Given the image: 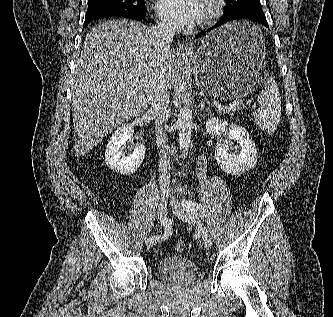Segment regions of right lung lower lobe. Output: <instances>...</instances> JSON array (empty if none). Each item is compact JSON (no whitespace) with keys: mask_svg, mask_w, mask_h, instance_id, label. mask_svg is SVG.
Masks as SVG:
<instances>
[{"mask_svg":"<svg viewBox=\"0 0 333 317\" xmlns=\"http://www.w3.org/2000/svg\"><path fill=\"white\" fill-rule=\"evenodd\" d=\"M109 16H119V17H125V18H129V19H134V20H137V21H141L144 18L145 14H138V13H132V14L104 13V14H99V15H89V16L86 15L85 16L84 27L87 26L94 19L109 17Z\"/></svg>","mask_w":333,"mask_h":317,"instance_id":"98d812e1","label":"right lung lower lobe"}]
</instances>
